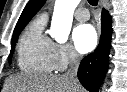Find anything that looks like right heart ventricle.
Wrapping results in <instances>:
<instances>
[{
	"mask_svg": "<svg viewBox=\"0 0 127 92\" xmlns=\"http://www.w3.org/2000/svg\"><path fill=\"white\" fill-rule=\"evenodd\" d=\"M46 16L35 18L23 32L17 48V65L28 74H49L56 70L54 42L44 33Z\"/></svg>",
	"mask_w": 127,
	"mask_h": 92,
	"instance_id": "e07e8e85",
	"label": "right heart ventricle"
}]
</instances>
